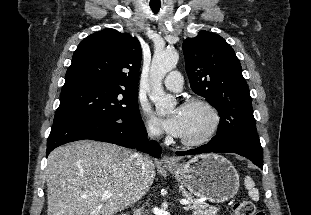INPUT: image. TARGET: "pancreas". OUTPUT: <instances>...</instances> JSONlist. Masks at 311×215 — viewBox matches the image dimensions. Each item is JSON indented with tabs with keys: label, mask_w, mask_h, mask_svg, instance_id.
Here are the masks:
<instances>
[{
	"label": "pancreas",
	"mask_w": 311,
	"mask_h": 215,
	"mask_svg": "<svg viewBox=\"0 0 311 215\" xmlns=\"http://www.w3.org/2000/svg\"><path fill=\"white\" fill-rule=\"evenodd\" d=\"M183 196L189 201L188 209L193 211V215H217L219 209L206 202H200L191 193L182 189Z\"/></svg>",
	"instance_id": "obj_1"
}]
</instances>
